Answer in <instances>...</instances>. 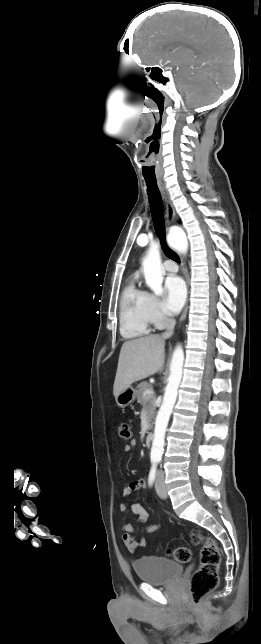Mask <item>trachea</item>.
Instances as JSON below:
<instances>
[{"mask_svg":"<svg viewBox=\"0 0 261 644\" xmlns=\"http://www.w3.org/2000/svg\"><path fill=\"white\" fill-rule=\"evenodd\" d=\"M145 181L147 184V194L149 197L150 208L152 211L156 233L160 238L162 248L168 257L179 262L177 254L169 248L165 240L163 202L157 186V182L156 180L150 179H145Z\"/></svg>","mask_w":261,"mask_h":644,"instance_id":"trachea-1","label":"trachea"}]
</instances>
